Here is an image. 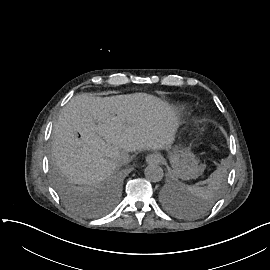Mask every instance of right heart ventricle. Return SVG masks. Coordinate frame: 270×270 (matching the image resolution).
I'll use <instances>...</instances> for the list:
<instances>
[{
	"label": "right heart ventricle",
	"mask_w": 270,
	"mask_h": 270,
	"mask_svg": "<svg viewBox=\"0 0 270 270\" xmlns=\"http://www.w3.org/2000/svg\"><path fill=\"white\" fill-rule=\"evenodd\" d=\"M177 108L182 110V109H184V106H178Z\"/></svg>",
	"instance_id": "right-heart-ventricle-1"
}]
</instances>
